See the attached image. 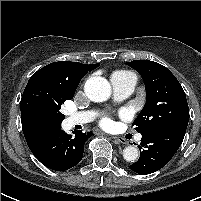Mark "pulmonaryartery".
Wrapping results in <instances>:
<instances>
[{
    "instance_id": "obj_1",
    "label": "pulmonary artery",
    "mask_w": 201,
    "mask_h": 201,
    "mask_svg": "<svg viewBox=\"0 0 201 201\" xmlns=\"http://www.w3.org/2000/svg\"><path fill=\"white\" fill-rule=\"evenodd\" d=\"M137 78L134 74L127 75H114L111 76V84L113 87V93L116 100H124L128 98L135 89ZM95 116L93 111H82L71 113L66 122L68 125L73 126L76 124H84L90 122ZM141 135H137V140L141 139Z\"/></svg>"
}]
</instances>
